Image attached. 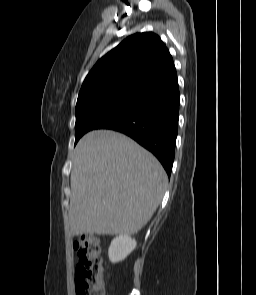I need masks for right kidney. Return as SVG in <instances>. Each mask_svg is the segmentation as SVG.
<instances>
[{
  "mask_svg": "<svg viewBox=\"0 0 256 295\" xmlns=\"http://www.w3.org/2000/svg\"><path fill=\"white\" fill-rule=\"evenodd\" d=\"M136 245V240L127 235L114 238L108 250L109 260L112 263L124 260L136 248Z\"/></svg>",
  "mask_w": 256,
  "mask_h": 295,
  "instance_id": "ca27d5eb",
  "label": "right kidney"
}]
</instances>
